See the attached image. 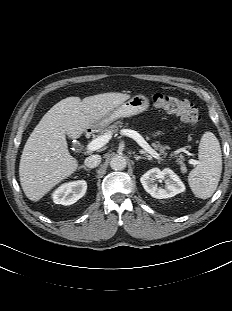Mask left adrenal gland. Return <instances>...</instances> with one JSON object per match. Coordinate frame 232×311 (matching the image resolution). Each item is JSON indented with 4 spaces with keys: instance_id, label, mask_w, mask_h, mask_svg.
<instances>
[{
    "instance_id": "1",
    "label": "left adrenal gland",
    "mask_w": 232,
    "mask_h": 311,
    "mask_svg": "<svg viewBox=\"0 0 232 311\" xmlns=\"http://www.w3.org/2000/svg\"><path fill=\"white\" fill-rule=\"evenodd\" d=\"M134 158L136 160H139V159H147L146 157H142V156H138V155H134ZM149 159V158H148Z\"/></svg>"
}]
</instances>
